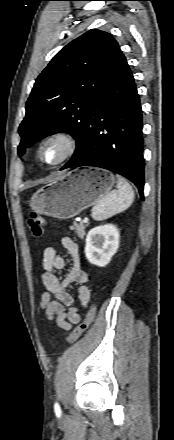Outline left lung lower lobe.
<instances>
[{"instance_id":"1","label":"left lung lower lobe","mask_w":174,"mask_h":440,"mask_svg":"<svg viewBox=\"0 0 174 440\" xmlns=\"http://www.w3.org/2000/svg\"><path fill=\"white\" fill-rule=\"evenodd\" d=\"M142 113L134 77L124 55L113 68L100 97L89 111L80 153L62 168L95 166L132 181L143 197Z\"/></svg>"}]
</instances>
